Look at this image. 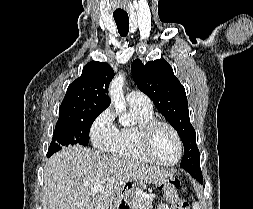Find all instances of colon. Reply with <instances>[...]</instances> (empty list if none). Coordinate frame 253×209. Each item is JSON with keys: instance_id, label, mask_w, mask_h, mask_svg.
<instances>
[{"instance_id": "colon-1", "label": "colon", "mask_w": 253, "mask_h": 209, "mask_svg": "<svg viewBox=\"0 0 253 209\" xmlns=\"http://www.w3.org/2000/svg\"><path fill=\"white\" fill-rule=\"evenodd\" d=\"M167 183V188L166 191H174L176 190L179 185L180 181L178 178H170L168 179ZM176 209H190V205L186 200H180L175 204Z\"/></svg>"}]
</instances>
